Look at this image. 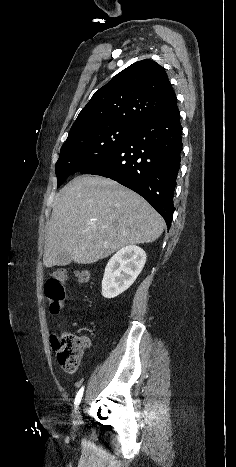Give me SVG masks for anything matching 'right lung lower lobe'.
Returning a JSON list of instances; mask_svg holds the SVG:
<instances>
[{
	"instance_id": "1",
	"label": "right lung lower lobe",
	"mask_w": 236,
	"mask_h": 467,
	"mask_svg": "<svg viewBox=\"0 0 236 467\" xmlns=\"http://www.w3.org/2000/svg\"><path fill=\"white\" fill-rule=\"evenodd\" d=\"M177 105L138 127L115 151L80 171L117 181L144 197L170 228L182 150Z\"/></svg>"
}]
</instances>
